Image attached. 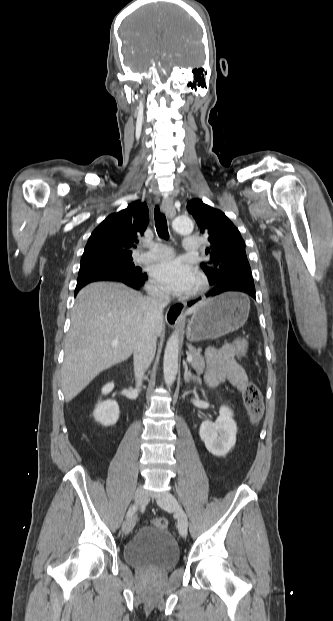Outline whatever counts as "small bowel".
I'll return each mask as SVG.
<instances>
[{
  "label": "small bowel",
  "instance_id": "c3829d8e",
  "mask_svg": "<svg viewBox=\"0 0 333 621\" xmlns=\"http://www.w3.org/2000/svg\"><path fill=\"white\" fill-rule=\"evenodd\" d=\"M206 357L205 382L209 387L214 388L228 381L237 390L244 391L247 385V376L244 369L237 363L232 347L224 346L221 349H209Z\"/></svg>",
  "mask_w": 333,
  "mask_h": 621
}]
</instances>
